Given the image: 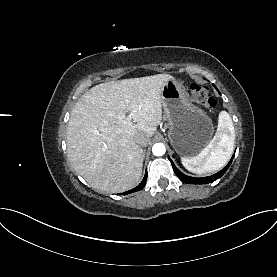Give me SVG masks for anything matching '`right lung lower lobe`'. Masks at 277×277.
I'll use <instances>...</instances> for the list:
<instances>
[{
  "label": "right lung lower lobe",
  "instance_id": "1",
  "mask_svg": "<svg viewBox=\"0 0 277 277\" xmlns=\"http://www.w3.org/2000/svg\"><path fill=\"white\" fill-rule=\"evenodd\" d=\"M146 178H147V172L145 173V176H144L142 182L137 187H135L134 189H131L127 192H124L123 194L126 195L128 193H133V192H136V191H139V190L143 189L145 184H146Z\"/></svg>",
  "mask_w": 277,
  "mask_h": 277
}]
</instances>
